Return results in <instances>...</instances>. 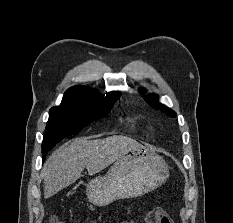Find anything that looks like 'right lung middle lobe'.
<instances>
[{
	"label": "right lung middle lobe",
	"mask_w": 233,
	"mask_h": 223,
	"mask_svg": "<svg viewBox=\"0 0 233 223\" xmlns=\"http://www.w3.org/2000/svg\"><path fill=\"white\" fill-rule=\"evenodd\" d=\"M113 104H82L62 102L49 111L42 151L51 150L63 138L76 134L95 120L106 116Z\"/></svg>",
	"instance_id": "obj_1"
}]
</instances>
